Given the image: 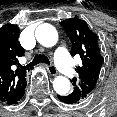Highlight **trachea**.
Instances as JSON below:
<instances>
[{
	"label": "trachea",
	"instance_id": "3493384b",
	"mask_svg": "<svg viewBox=\"0 0 117 117\" xmlns=\"http://www.w3.org/2000/svg\"><path fill=\"white\" fill-rule=\"evenodd\" d=\"M39 63H45V64H50V61L48 59V57H46L43 54H37L35 55L34 59L32 62H30L29 64H27L26 66H24V68H32L33 66L39 64Z\"/></svg>",
	"mask_w": 117,
	"mask_h": 117
}]
</instances>
